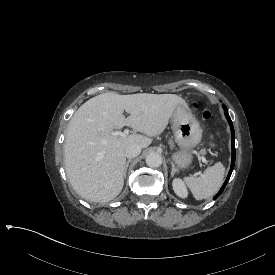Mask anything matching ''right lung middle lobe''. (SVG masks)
I'll return each mask as SVG.
<instances>
[{"label": "right lung middle lobe", "instance_id": "1", "mask_svg": "<svg viewBox=\"0 0 275 275\" xmlns=\"http://www.w3.org/2000/svg\"><path fill=\"white\" fill-rule=\"evenodd\" d=\"M124 195H125V192H122L121 195L114 197V199H100V202H104V203L114 202V200H119L121 196H124ZM92 203H98V200H92Z\"/></svg>", "mask_w": 275, "mask_h": 275}]
</instances>
